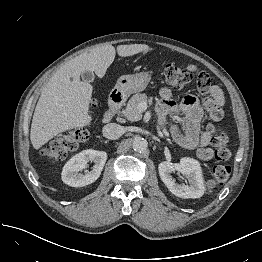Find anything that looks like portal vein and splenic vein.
I'll use <instances>...</instances> for the list:
<instances>
[{
    "label": "portal vein and splenic vein",
    "instance_id": "1",
    "mask_svg": "<svg viewBox=\"0 0 262 262\" xmlns=\"http://www.w3.org/2000/svg\"><path fill=\"white\" fill-rule=\"evenodd\" d=\"M138 107H140L142 110L143 108L146 109V103H140Z\"/></svg>",
    "mask_w": 262,
    "mask_h": 262
}]
</instances>
